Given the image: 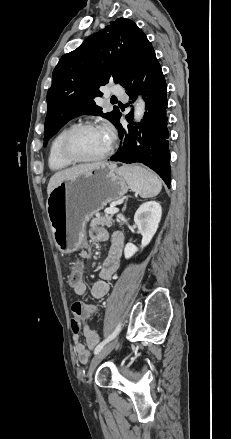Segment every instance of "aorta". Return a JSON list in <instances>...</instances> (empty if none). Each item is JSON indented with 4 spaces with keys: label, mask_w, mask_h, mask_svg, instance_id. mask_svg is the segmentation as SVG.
<instances>
[{
    "label": "aorta",
    "mask_w": 231,
    "mask_h": 439,
    "mask_svg": "<svg viewBox=\"0 0 231 439\" xmlns=\"http://www.w3.org/2000/svg\"><path fill=\"white\" fill-rule=\"evenodd\" d=\"M145 112V102L139 98L134 109V120L140 122L144 116Z\"/></svg>",
    "instance_id": "1"
}]
</instances>
